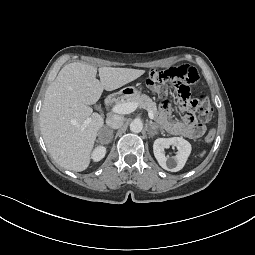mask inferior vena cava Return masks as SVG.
<instances>
[{"label":"inferior vena cava","instance_id":"inferior-vena-cava-1","mask_svg":"<svg viewBox=\"0 0 255 255\" xmlns=\"http://www.w3.org/2000/svg\"><path fill=\"white\" fill-rule=\"evenodd\" d=\"M124 123V117L120 115H110L106 119V124L113 128L118 129L120 128Z\"/></svg>","mask_w":255,"mask_h":255}]
</instances>
